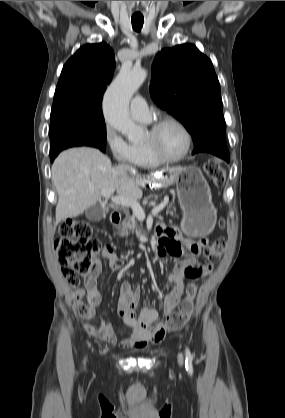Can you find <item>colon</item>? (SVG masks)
<instances>
[{
    "instance_id": "5ec220e1",
    "label": "colon",
    "mask_w": 285,
    "mask_h": 418,
    "mask_svg": "<svg viewBox=\"0 0 285 418\" xmlns=\"http://www.w3.org/2000/svg\"><path fill=\"white\" fill-rule=\"evenodd\" d=\"M205 171L215 183L219 184L224 179L222 167L214 160L206 162ZM220 225L223 226V222ZM55 247L63 274L72 286H80L91 271L90 256L100 250V244L93 238L92 227L78 219L64 221L60 226L59 236L55 240ZM225 247V239L219 237L205 248V257L209 261H215L223 255ZM158 254L163 256L166 253L159 248ZM195 294L196 285L191 283L179 310L170 313L165 324L157 328L159 334L177 331L186 324L193 312Z\"/></svg>"
}]
</instances>
